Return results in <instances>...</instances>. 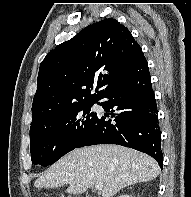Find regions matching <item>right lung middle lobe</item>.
Instances as JSON below:
<instances>
[{
  "label": "right lung middle lobe",
  "mask_w": 191,
  "mask_h": 197,
  "mask_svg": "<svg viewBox=\"0 0 191 197\" xmlns=\"http://www.w3.org/2000/svg\"><path fill=\"white\" fill-rule=\"evenodd\" d=\"M95 102L73 106L31 128L32 163L42 166L52 165L75 149L97 118V114L91 112Z\"/></svg>",
  "instance_id": "dd1d6c3e"
}]
</instances>
